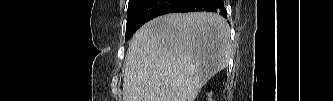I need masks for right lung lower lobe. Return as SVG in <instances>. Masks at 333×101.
I'll return each instance as SVG.
<instances>
[{
  "label": "right lung lower lobe",
  "mask_w": 333,
  "mask_h": 101,
  "mask_svg": "<svg viewBox=\"0 0 333 101\" xmlns=\"http://www.w3.org/2000/svg\"><path fill=\"white\" fill-rule=\"evenodd\" d=\"M195 11L217 12L227 17L223 0H144L133 19V31L163 14Z\"/></svg>",
  "instance_id": "98d812e1"
}]
</instances>
